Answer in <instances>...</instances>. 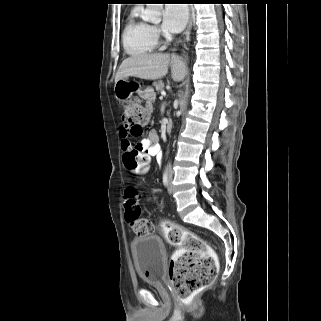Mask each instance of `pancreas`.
Wrapping results in <instances>:
<instances>
[{
	"label": "pancreas",
	"instance_id": "1",
	"mask_svg": "<svg viewBox=\"0 0 321 321\" xmlns=\"http://www.w3.org/2000/svg\"><path fill=\"white\" fill-rule=\"evenodd\" d=\"M157 92L163 91L164 83L162 81H157L153 84Z\"/></svg>",
	"mask_w": 321,
	"mask_h": 321
}]
</instances>
